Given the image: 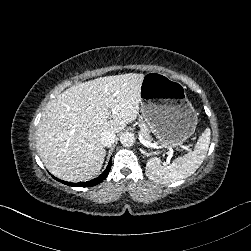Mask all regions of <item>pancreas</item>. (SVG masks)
Returning <instances> with one entry per match:
<instances>
[{"mask_svg": "<svg viewBox=\"0 0 251 251\" xmlns=\"http://www.w3.org/2000/svg\"><path fill=\"white\" fill-rule=\"evenodd\" d=\"M139 127H140L139 134H141L145 140L151 142L153 140V138L150 135V130H149L148 126L144 122L140 121Z\"/></svg>", "mask_w": 251, "mask_h": 251, "instance_id": "obj_1", "label": "pancreas"}]
</instances>
